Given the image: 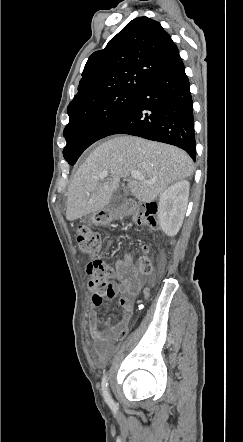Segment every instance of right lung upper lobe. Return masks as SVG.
I'll use <instances>...</instances> for the list:
<instances>
[{
    "label": "right lung upper lobe",
    "mask_w": 243,
    "mask_h": 442,
    "mask_svg": "<svg viewBox=\"0 0 243 442\" xmlns=\"http://www.w3.org/2000/svg\"><path fill=\"white\" fill-rule=\"evenodd\" d=\"M178 48L159 22L146 16L130 21L103 50L94 52L82 72L68 115L120 91H138L150 76L177 54Z\"/></svg>",
    "instance_id": "1"
}]
</instances>
